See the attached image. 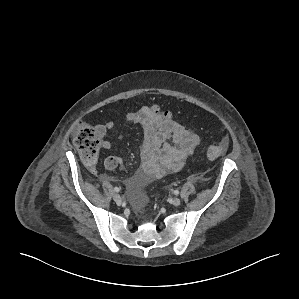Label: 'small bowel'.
Here are the masks:
<instances>
[{
	"instance_id": "small-bowel-1",
	"label": "small bowel",
	"mask_w": 299,
	"mask_h": 299,
	"mask_svg": "<svg viewBox=\"0 0 299 299\" xmlns=\"http://www.w3.org/2000/svg\"><path fill=\"white\" fill-rule=\"evenodd\" d=\"M125 123L139 125L143 131L140 166L127 181L135 206L140 208L146 203L145 185L181 170L186 159L196 149L199 138L177 121L164 119L152 106H144L137 111L127 113ZM113 129L112 121L96 127L101 137L106 136ZM102 146L108 150L111 148V143L104 140ZM119 164L120 160L115 156H108L104 161V166L108 170L115 169Z\"/></svg>"
}]
</instances>
